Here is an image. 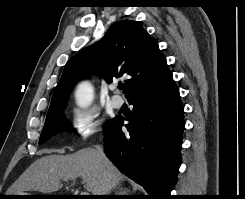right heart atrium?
I'll list each match as a JSON object with an SVG mask.
<instances>
[{
  "mask_svg": "<svg viewBox=\"0 0 245 199\" xmlns=\"http://www.w3.org/2000/svg\"><path fill=\"white\" fill-rule=\"evenodd\" d=\"M71 126L78 138L85 140L100 128V116L92 108L76 109L71 117Z\"/></svg>",
  "mask_w": 245,
  "mask_h": 199,
  "instance_id": "right-heart-atrium-1",
  "label": "right heart atrium"
}]
</instances>
